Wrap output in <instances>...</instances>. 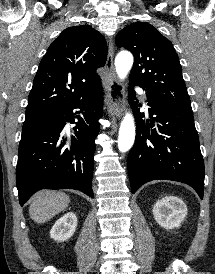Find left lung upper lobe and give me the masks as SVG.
I'll list each match as a JSON object with an SVG mask.
<instances>
[{
    "mask_svg": "<svg viewBox=\"0 0 215 274\" xmlns=\"http://www.w3.org/2000/svg\"><path fill=\"white\" fill-rule=\"evenodd\" d=\"M116 45L134 55L131 84L164 101L191 108L178 55L172 43L154 26L146 22L132 23L116 36Z\"/></svg>",
    "mask_w": 215,
    "mask_h": 274,
    "instance_id": "1",
    "label": "left lung upper lobe"
}]
</instances>
